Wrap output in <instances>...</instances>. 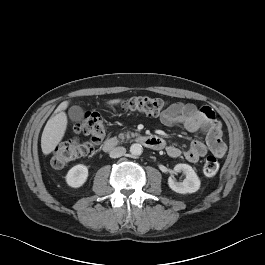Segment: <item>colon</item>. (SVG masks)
<instances>
[{
	"label": "colon",
	"mask_w": 265,
	"mask_h": 265,
	"mask_svg": "<svg viewBox=\"0 0 265 265\" xmlns=\"http://www.w3.org/2000/svg\"><path fill=\"white\" fill-rule=\"evenodd\" d=\"M124 106L131 112L141 113L148 116H159L166 111L167 103L160 98L147 96L132 97L124 102ZM75 132L86 136L87 140L71 139L59 144L53 151L51 166L62 168L71 161L86 156L103 140L106 134V122L96 112H87L83 118L74 125ZM219 171L217 157L208 156L203 164V172L206 176H215Z\"/></svg>",
	"instance_id": "colon-1"
}]
</instances>
